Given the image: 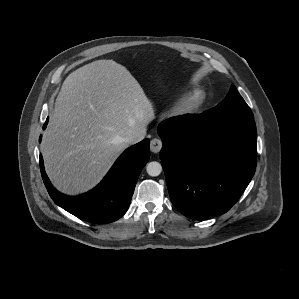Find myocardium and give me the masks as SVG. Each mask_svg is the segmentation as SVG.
Segmentation results:
<instances>
[{"label": "myocardium", "instance_id": "f54148a6", "mask_svg": "<svg viewBox=\"0 0 299 299\" xmlns=\"http://www.w3.org/2000/svg\"><path fill=\"white\" fill-rule=\"evenodd\" d=\"M204 93L200 90H196L190 93L180 103L178 107V113L181 115H187L193 113L203 102Z\"/></svg>", "mask_w": 299, "mask_h": 299}]
</instances>
